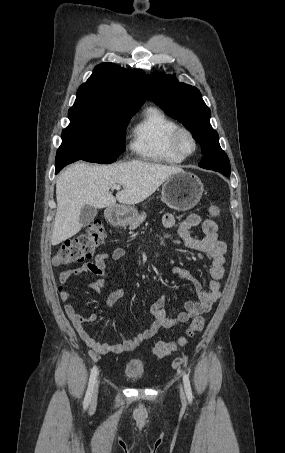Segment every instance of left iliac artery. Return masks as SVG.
<instances>
[{
    "mask_svg": "<svg viewBox=\"0 0 285 453\" xmlns=\"http://www.w3.org/2000/svg\"><path fill=\"white\" fill-rule=\"evenodd\" d=\"M183 383H184L186 396H187L189 402H192L193 396H192L191 385H190L189 377L185 372H183Z\"/></svg>",
    "mask_w": 285,
    "mask_h": 453,
    "instance_id": "left-iliac-artery-1",
    "label": "left iliac artery"
}]
</instances>
